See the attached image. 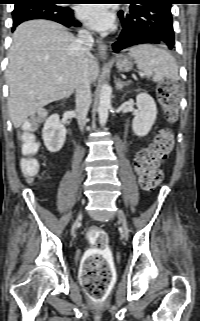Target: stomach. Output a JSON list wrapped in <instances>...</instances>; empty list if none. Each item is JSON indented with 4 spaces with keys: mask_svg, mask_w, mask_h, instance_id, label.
<instances>
[{
    "mask_svg": "<svg viewBox=\"0 0 200 321\" xmlns=\"http://www.w3.org/2000/svg\"><path fill=\"white\" fill-rule=\"evenodd\" d=\"M133 59L129 56L121 55L116 59V67L121 72H129L133 68Z\"/></svg>",
    "mask_w": 200,
    "mask_h": 321,
    "instance_id": "1",
    "label": "stomach"
}]
</instances>
